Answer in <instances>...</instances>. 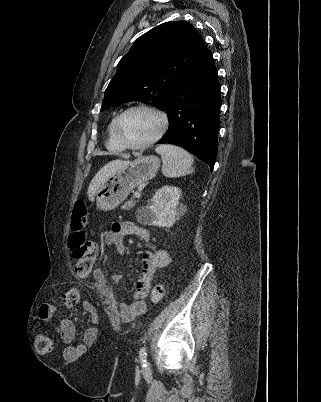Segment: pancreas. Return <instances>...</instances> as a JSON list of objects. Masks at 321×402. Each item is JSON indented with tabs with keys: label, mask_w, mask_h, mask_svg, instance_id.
<instances>
[{
	"label": "pancreas",
	"mask_w": 321,
	"mask_h": 402,
	"mask_svg": "<svg viewBox=\"0 0 321 402\" xmlns=\"http://www.w3.org/2000/svg\"><path fill=\"white\" fill-rule=\"evenodd\" d=\"M136 204V201H134L133 199L127 201L124 203V205L122 206V209L124 210H130L131 208H133Z\"/></svg>",
	"instance_id": "cf45deb5"
}]
</instances>
